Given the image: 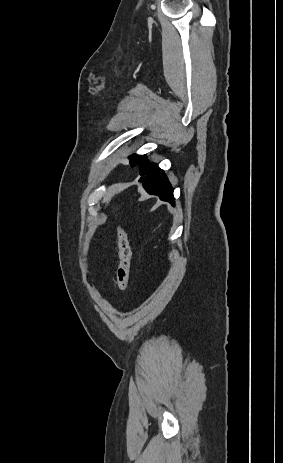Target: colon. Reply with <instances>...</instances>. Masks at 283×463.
Instances as JSON below:
<instances>
[{
  "label": "colon",
  "mask_w": 283,
  "mask_h": 463,
  "mask_svg": "<svg viewBox=\"0 0 283 463\" xmlns=\"http://www.w3.org/2000/svg\"><path fill=\"white\" fill-rule=\"evenodd\" d=\"M116 235L119 249V264L116 272V283L119 292L124 294L128 288L132 253L126 231L121 227H117Z\"/></svg>",
  "instance_id": "obj_1"
}]
</instances>
